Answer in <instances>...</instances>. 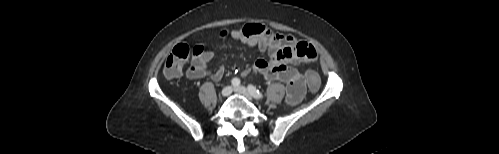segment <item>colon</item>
<instances>
[{
  "label": "colon",
  "instance_id": "colon-1",
  "mask_svg": "<svg viewBox=\"0 0 499 154\" xmlns=\"http://www.w3.org/2000/svg\"><path fill=\"white\" fill-rule=\"evenodd\" d=\"M190 55V47L187 44L181 43L174 47L170 55L167 57L164 65V74L168 78H177L182 74L183 67ZM305 83L308 88L315 92L320 87V77L318 73L312 69L305 72Z\"/></svg>",
  "mask_w": 499,
  "mask_h": 154
}]
</instances>
